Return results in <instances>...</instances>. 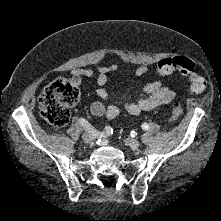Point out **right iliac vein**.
Returning a JSON list of instances; mask_svg holds the SVG:
<instances>
[{"instance_id":"63e3f726","label":"right iliac vein","mask_w":221,"mask_h":221,"mask_svg":"<svg viewBox=\"0 0 221 221\" xmlns=\"http://www.w3.org/2000/svg\"><path fill=\"white\" fill-rule=\"evenodd\" d=\"M82 139L85 143H91L94 140V137L91 134L84 133Z\"/></svg>"}]
</instances>
